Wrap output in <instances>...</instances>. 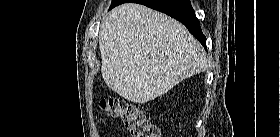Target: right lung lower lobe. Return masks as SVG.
I'll return each instance as SVG.
<instances>
[{
    "label": "right lung lower lobe",
    "mask_w": 280,
    "mask_h": 137,
    "mask_svg": "<svg viewBox=\"0 0 280 137\" xmlns=\"http://www.w3.org/2000/svg\"><path fill=\"white\" fill-rule=\"evenodd\" d=\"M129 2L143 4L180 21L206 48V37L202 33L199 20L196 18L190 0H124L122 3Z\"/></svg>",
    "instance_id": "98d812e1"
}]
</instances>
